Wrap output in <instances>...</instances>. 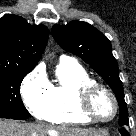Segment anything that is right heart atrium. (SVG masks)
I'll return each mask as SVG.
<instances>
[{"mask_svg": "<svg viewBox=\"0 0 136 136\" xmlns=\"http://www.w3.org/2000/svg\"><path fill=\"white\" fill-rule=\"evenodd\" d=\"M20 93L26 108L37 118H43L51 105V84L38 69L30 72L23 80Z\"/></svg>", "mask_w": 136, "mask_h": 136, "instance_id": "obj_1", "label": "right heart atrium"}]
</instances>
